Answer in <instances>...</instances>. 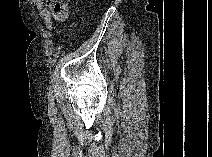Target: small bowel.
Wrapping results in <instances>:
<instances>
[{"mask_svg":"<svg viewBox=\"0 0 212 157\" xmlns=\"http://www.w3.org/2000/svg\"><path fill=\"white\" fill-rule=\"evenodd\" d=\"M33 5L37 8L40 17L42 18V20L45 23V27L49 30L52 29L53 24H52V20H51V13L44 6L43 1L42 0H34Z\"/></svg>","mask_w":212,"mask_h":157,"instance_id":"c3829d8e","label":"small bowel"}]
</instances>
